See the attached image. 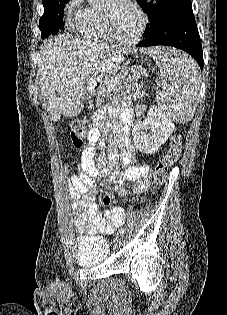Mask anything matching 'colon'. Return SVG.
<instances>
[{
	"label": "colon",
	"instance_id": "colon-1",
	"mask_svg": "<svg viewBox=\"0 0 227 315\" xmlns=\"http://www.w3.org/2000/svg\"><path fill=\"white\" fill-rule=\"evenodd\" d=\"M89 131L90 129L87 121L83 119L74 120L70 125V139L72 144L75 147H81L85 138L88 136ZM180 151L181 136L179 134H173L170 138L168 148L164 151L160 162L154 168L151 193H155L158 187L162 185L169 168L178 160ZM101 200L105 206L117 208L116 201L114 200L112 193L106 190L103 191Z\"/></svg>",
	"mask_w": 227,
	"mask_h": 315
}]
</instances>
